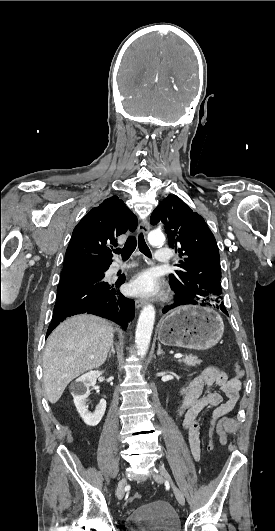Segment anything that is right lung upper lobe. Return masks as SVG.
I'll list each match as a JSON object with an SVG mask.
<instances>
[{
	"instance_id": "1",
	"label": "right lung upper lobe",
	"mask_w": 275,
	"mask_h": 531,
	"mask_svg": "<svg viewBox=\"0 0 275 531\" xmlns=\"http://www.w3.org/2000/svg\"><path fill=\"white\" fill-rule=\"evenodd\" d=\"M137 218L117 196L105 199L77 224L66 250L63 269L82 265L108 266L112 262L109 247L118 245L117 237L135 231Z\"/></svg>"
}]
</instances>
